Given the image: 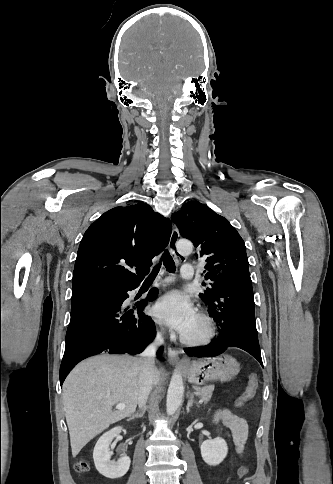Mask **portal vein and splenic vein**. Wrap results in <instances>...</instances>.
Returning a JSON list of instances; mask_svg holds the SVG:
<instances>
[{
    "instance_id": "portal-vein-and-splenic-vein-1",
    "label": "portal vein and splenic vein",
    "mask_w": 333,
    "mask_h": 484,
    "mask_svg": "<svg viewBox=\"0 0 333 484\" xmlns=\"http://www.w3.org/2000/svg\"><path fill=\"white\" fill-rule=\"evenodd\" d=\"M116 408L117 409H125V404L119 403V404L116 405Z\"/></svg>"
}]
</instances>
